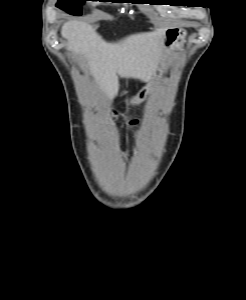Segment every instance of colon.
<instances>
[{
	"label": "colon",
	"instance_id": "1",
	"mask_svg": "<svg viewBox=\"0 0 246 300\" xmlns=\"http://www.w3.org/2000/svg\"><path fill=\"white\" fill-rule=\"evenodd\" d=\"M137 123H138V121L135 120V119H133V120H130V121H129L128 125H129V127H134V126L137 125Z\"/></svg>",
	"mask_w": 246,
	"mask_h": 300
}]
</instances>
